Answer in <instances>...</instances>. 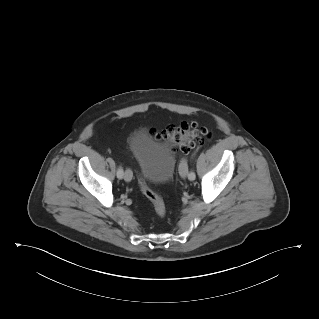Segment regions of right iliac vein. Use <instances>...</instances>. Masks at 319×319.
I'll use <instances>...</instances> for the list:
<instances>
[{
	"label": "right iliac vein",
	"instance_id": "obj_1",
	"mask_svg": "<svg viewBox=\"0 0 319 319\" xmlns=\"http://www.w3.org/2000/svg\"><path fill=\"white\" fill-rule=\"evenodd\" d=\"M132 177H133L132 171L130 169H126L124 173V180L126 182H130L132 180Z\"/></svg>",
	"mask_w": 319,
	"mask_h": 319
}]
</instances>
